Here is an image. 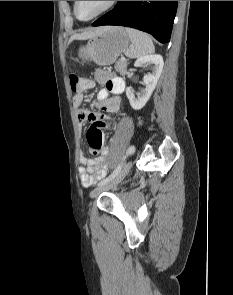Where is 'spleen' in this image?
<instances>
[{"label": "spleen", "instance_id": "spleen-1", "mask_svg": "<svg viewBox=\"0 0 233 295\" xmlns=\"http://www.w3.org/2000/svg\"><path fill=\"white\" fill-rule=\"evenodd\" d=\"M125 30L132 42V46L125 52L127 57L138 58L155 51L154 44L148 34L133 28Z\"/></svg>", "mask_w": 233, "mask_h": 295}]
</instances>
